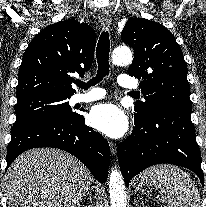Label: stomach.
I'll list each match as a JSON object with an SVG mask.
<instances>
[{
  "mask_svg": "<svg viewBox=\"0 0 206 207\" xmlns=\"http://www.w3.org/2000/svg\"><path fill=\"white\" fill-rule=\"evenodd\" d=\"M147 186L148 185L146 184V182L142 178H138L135 183V187L139 191H144Z\"/></svg>",
  "mask_w": 206,
  "mask_h": 207,
  "instance_id": "1",
  "label": "stomach"
}]
</instances>
